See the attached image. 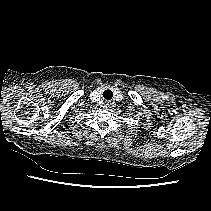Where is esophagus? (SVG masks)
Wrapping results in <instances>:
<instances>
[{
    "label": "esophagus",
    "mask_w": 211,
    "mask_h": 211,
    "mask_svg": "<svg viewBox=\"0 0 211 211\" xmlns=\"http://www.w3.org/2000/svg\"><path fill=\"white\" fill-rule=\"evenodd\" d=\"M105 107H106V108H109V107H110V104H109V103H106V104H105Z\"/></svg>",
    "instance_id": "1"
}]
</instances>
